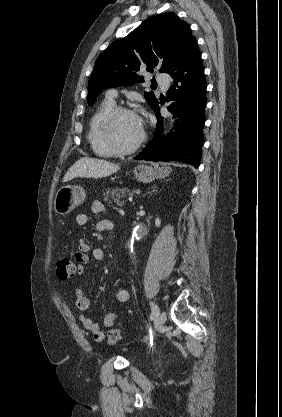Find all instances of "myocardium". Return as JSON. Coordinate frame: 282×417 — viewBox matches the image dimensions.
<instances>
[{"mask_svg": "<svg viewBox=\"0 0 282 417\" xmlns=\"http://www.w3.org/2000/svg\"><path fill=\"white\" fill-rule=\"evenodd\" d=\"M124 114H129V115L138 117L135 111L118 106V107H114L103 119V124H102L103 130L101 133L102 138H103L104 144L114 153L130 152L139 148L144 143L146 136H147L145 127L143 126L141 122V125H142L141 135L137 141H135L134 143L130 145L117 144L112 138L111 131H112V127L114 125L115 120L119 116L124 115Z\"/></svg>", "mask_w": 282, "mask_h": 417, "instance_id": "1", "label": "myocardium"}]
</instances>
